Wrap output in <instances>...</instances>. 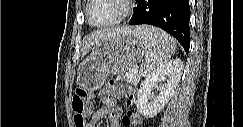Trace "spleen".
I'll use <instances>...</instances> for the list:
<instances>
[{
	"instance_id": "spleen-1",
	"label": "spleen",
	"mask_w": 243,
	"mask_h": 127,
	"mask_svg": "<svg viewBox=\"0 0 243 127\" xmlns=\"http://www.w3.org/2000/svg\"><path fill=\"white\" fill-rule=\"evenodd\" d=\"M135 35L143 40L146 49L140 72L145 76L157 72L175 53L176 42L166 32L151 26H141Z\"/></svg>"
}]
</instances>
